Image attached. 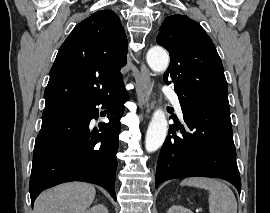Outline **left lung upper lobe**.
Returning a JSON list of instances; mask_svg holds the SVG:
<instances>
[{
    "mask_svg": "<svg viewBox=\"0 0 270 213\" xmlns=\"http://www.w3.org/2000/svg\"><path fill=\"white\" fill-rule=\"evenodd\" d=\"M157 43L170 54L164 81L174 84L178 97L229 110L221 59L199 23L185 15L168 16L159 28Z\"/></svg>",
    "mask_w": 270,
    "mask_h": 213,
    "instance_id": "5c2ea615",
    "label": "left lung upper lobe"
}]
</instances>
